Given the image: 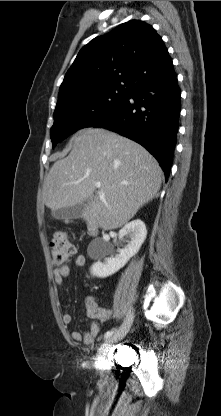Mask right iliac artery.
<instances>
[{"label": "right iliac artery", "instance_id": "right-iliac-artery-1", "mask_svg": "<svg viewBox=\"0 0 221 416\" xmlns=\"http://www.w3.org/2000/svg\"><path fill=\"white\" fill-rule=\"evenodd\" d=\"M114 333V331L113 330H110V331H107L105 334H104V339H108L110 336H112V334Z\"/></svg>", "mask_w": 221, "mask_h": 416}]
</instances>
